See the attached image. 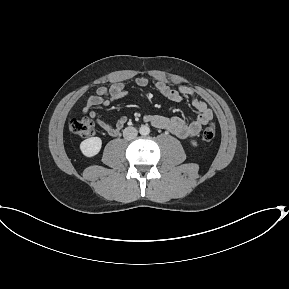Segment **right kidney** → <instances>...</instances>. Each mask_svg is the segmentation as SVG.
Wrapping results in <instances>:
<instances>
[{"mask_svg":"<svg viewBox=\"0 0 289 289\" xmlns=\"http://www.w3.org/2000/svg\"><path fill=\"white\" fill-rule=\"evenodd\" d=\"M102 140L99 137H91L81 142L80 150L86 157L97 155L101 149Z\"/></svg>","mask_w":289,"mask_h":289,"instance_id":"obj_1","label":"right kidney"}]
</instances>
